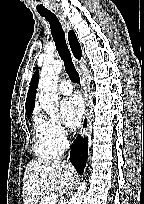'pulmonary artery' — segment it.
I'll use <instances>...</instances> for the list:
<instances>
[{"mask_svg":"<svg viewBox=\"0 0 144 204\" xmlns=\"http://www.w3.org/2000/svg\"><path fill=\"white\" fill-rule=\"evenodd\" d=\"M58 91L63 95H69L72 93V85L69 81L63 80L58 86Z\"/></svg>","mask_w":144,"mask_h":204,"instance_id":"obj_1","label":"pulmonary artery"}]
</instances>
